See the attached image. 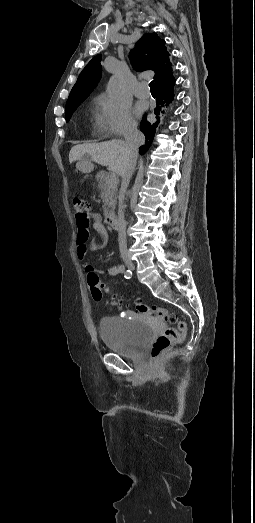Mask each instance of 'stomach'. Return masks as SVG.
I'll list each match as a JSON object with an SVG mask.
<instances>
[{
	"label": "stomach",
	"mask_w": 255,
	"mask_h": 523,
	"mask_svg": "<svg viewBox=\"0 0 255 523\" xmlns=\"http://www.w3.org/2000/svg\"><path fill=\"white\" fill-rule=\"evenodd\" d=\"M92 168L93 164H82V166H80L81 172H85V174L86 172H91Z\"/></svg>",
	"instance_id": "0dacf381"
}]
</instances>
